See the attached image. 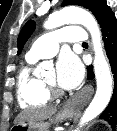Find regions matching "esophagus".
<instances>
[{
  "label": "esophagus",
  "mask_w": 117,
  "mask_h": 131,
  "mask_svg": "<svg viewBox=\"0 0 117 131\" xmlns=\"http://www.w3.org/2000/svg\"><path fill=\"white\" fill-rule=\"evenodd\" d=\"M84 97H89L92 94V87L90 85H87L83 88L82 93ZM68 107L70 106V103L67 105Z\"/></svg>",
  "instance_id": "esophagus-1"
}]
</instances>
